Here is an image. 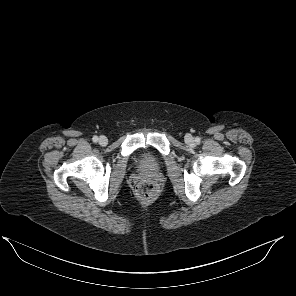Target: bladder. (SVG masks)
<instances>
[{"label":"bladder","mask_w":296,"mask_h":296,"mask_svg":"<svg viewBox=\"0 0 296 296\" xmlns=\"http://www.w3.org/2000/svg\"><path fill=\"white\" fill-rule=\"evenodd\" d=\"M135 164L141 172L151 173L161 169L162 162L151 151H141L135 157Z\"/></svg>","instance_id":"1"}]
</instances>
